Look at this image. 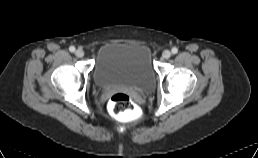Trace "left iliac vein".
<instances>
[{
  "instance_id": "1",
  "label": "left iliac vein",
  "mask_w": 258,
  "mask_h": 158,
  "mask_svg": "<svg viewBox=\"0 0 258 158\" xmlns=\"http://www.w3.org/2000/svg\"><path fill=\"white\" fill-rule=\"evenodd\" d=\"M170 56H171V52H170L169 50L163 51L162 57H163L164 59H169Z\"/></svg>"
}]
</instances>
